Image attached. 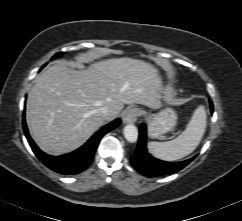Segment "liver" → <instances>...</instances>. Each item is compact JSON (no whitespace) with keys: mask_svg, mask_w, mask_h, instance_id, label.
<instances>
[{"mask_svg":"<svg viewBox=\"0 0 242 221\" xmlns=\"http://www.w3.org/2000/svg\"><path fill=\"white\" fill-rule=\"evenodd\" d=\"M162 80L150 63L129 57L93 62L74 70L55 64L37 76L29 92L26 122L41 150L62 155L82 146L124 104L161 107ZM108 107L105 119L99 109Z\"/></svg>","mask_w":242,"mask_h":221,"instance_id":"1","label":"liver"}]
</instances>
